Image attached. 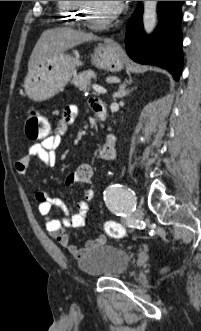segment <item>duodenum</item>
Returning <instances> with one entry per match:
<instances>
[{
  "mask_svg": "<svg viewBox=\"0 0 201 331\" xmlns=\"http://www.w3.org/2000/svg\"><path fill=\"white\" fill-rule=\"evenodd\" d=\"M97 116L100 118V119H104L105 118V112L104 111H97Z\"/></svg>",
  "mask_w": 201,
  "mask_h": 331,
  "instance_id": "obj_1",
  "label": "duodenum"
}]
</instances>
